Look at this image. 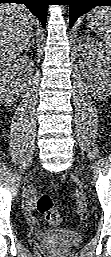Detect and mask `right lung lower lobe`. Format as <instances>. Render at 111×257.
<instances>
[{
  "label": "right lung lower lobe",
  "mask_w": 111,
  "mask_h": 257,
  "mask_svg": "<svg viewBox=\"0 0 111 257\" xmlns=\"http://www.w3.org/2000/svg\"><path fill=\"white\" fill-rule=\"evenodd\" d=\"M0 3L25 4L30 11L39 18L42 26L45 27L49 0H0Z\"/></svg>",
  "instance_id": "98d812e1"
}]
</instances>
